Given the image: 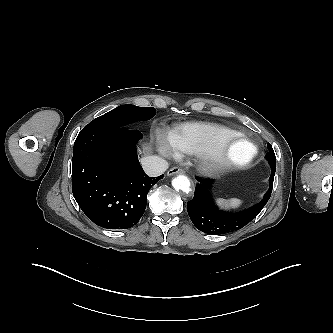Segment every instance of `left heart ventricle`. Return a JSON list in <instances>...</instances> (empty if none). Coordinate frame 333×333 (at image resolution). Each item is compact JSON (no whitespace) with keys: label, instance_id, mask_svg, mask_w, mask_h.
<instances>
[{"label":"left heart ventricle","instance_id":"1","mask_svg":"<svg viewBox=\"0 0 333 333\" xmlns=\"http://www.w3.org/2000/svg\"><path fill=\"white\" fill-rule=\"evenodd\" d=\"M247 151H248V148L243 145H238L233 148V153L237 157H241V156L245 155L247 153Z\"/></svg>","mask_w":333,"mask_h":333}]
</instances>
